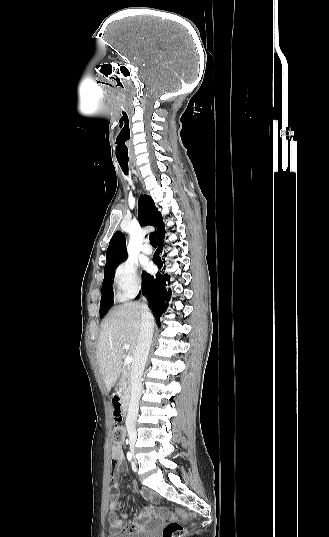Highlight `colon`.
<instances>
[{"label":"colon","mask_w":329,"mask_h":537,"mask_svg":"<svg viewBox=\"0 0 329 537\" xmlns=\"http://www.w3.org/2000/svg\"><path fill=\"white\" fill-rule=\"evenodd\" d=\"M112 404L114 406L115 399L112 400ZM116 408V407H114ZM113 408V412H114ZM125 438V432L123 427L120 424H114L112 429V440L115 445H120L123 443ZM168 516L172 521L168 522L162 531V537H183L184 534V528L183 526L175 521L176 519L182 520L188 516V513L182 509H172L169 511ZM190 516L193 518H196L198 516V513L196 511H193L190 513Z\"/></svg>","instance_id":"5ec220e1"}]
</instances>
